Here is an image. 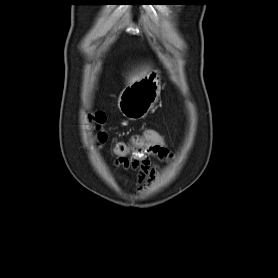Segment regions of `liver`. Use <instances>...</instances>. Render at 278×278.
<instances>
[{"label":"liver","instance_id":"liver-1","mask_svg":"<svg viewBox=\"0 0 278 278\" xmlns=\"http://www.w3.org/2000/svg\"><path fill=\"white\" fill-rule=\"evenodd\" d=\"M150 70V67H144L140 71H136L133 74L130 75L128 78V83L131 84L139 79H141L143 76H145Z\"/></svg>","mask_w":278,"mask_h":278}]
</instances>
